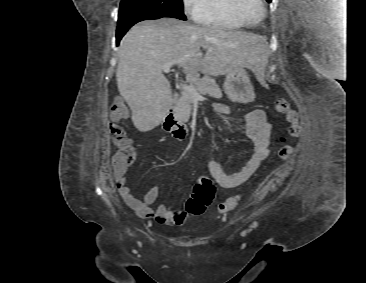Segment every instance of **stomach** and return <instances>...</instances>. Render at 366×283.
I'll list each match as a JSON object with an SVG mask.
<instances>
[{"label": "stomach", "instance_id": "1", "mask_svg": "<svg viewBox=\"0 0 366 283\" xmlns=\"http://www.w3.org/2000/svg\"><path fill=\"white\" fill-rule=\"evenodd\" d=\"M242 86H247L251 89L249 76L243 68H235L226 73L224 89L230 100H238L239 90Z\"/></svg>", "mask_w": 366, "mask_h": 283}]
</instances>
